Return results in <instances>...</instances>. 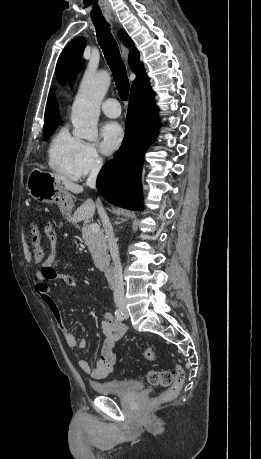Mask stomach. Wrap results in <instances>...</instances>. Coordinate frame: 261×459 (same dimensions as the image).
Masks as SVG:
<instances>
[{
    "label": "stomach",
    "mask_w": 261,
    "mask_h": 459,
    "mask_svg": "<svg viewBox=\"0 0 261 459\" xmlns=\"http://www.w3.org/2000/svg\"><path fill=\"white\" fill-rule=\"evenodd\" d=\"M27 189L35 200L57 204L68 214L69 194L52 173L34 168L28 176Z\"/></svg>",
    "instance_id": "stomach-1"
}]
</instances>
